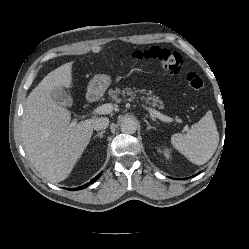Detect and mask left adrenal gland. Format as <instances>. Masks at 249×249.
I'll return each instance as SVG.
<instances>
[{
    "mask_svg": "<svg viewBox=\"0 0 249 249\" xmlns=\"http://www.w3.org/2000/svg\"><path fill=\"white\" fill-rule=\"evenodd\" d=\"M145 122H146V124H147V130H150V129H156L155 127H152L150 124H149V122L147 121V120H144Z\"/></svg>",
    "mask_w": 249,
    "mask_h": 249,
    "instance_id": "left-adrenal-gland-1",
    "label": "left adrenal gland"
}]
</instances>
